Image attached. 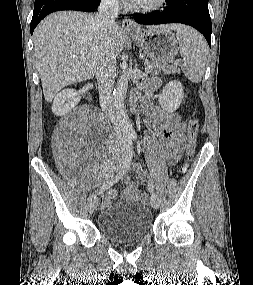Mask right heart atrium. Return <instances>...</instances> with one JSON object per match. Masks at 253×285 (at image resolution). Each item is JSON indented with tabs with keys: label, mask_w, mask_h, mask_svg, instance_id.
<instances>
[{
	"label": "right heart atrium",
	"mask_w": 253,
	"mask_h": 285,
	"mask_svg": "<svg viewBox=\"0 0 253 285\" xmlns=\"http://www.w3.org/2000/svg\"><path fill=\"white\" fill-rule=\"evenodd\" d=\"M106 3H108L109 5H112V6H117L120 4V1L121 0H105Z\"/></svg>",
	"instance_id": "obj_1"
}]
</instances>
